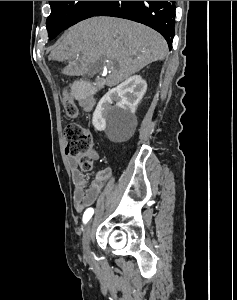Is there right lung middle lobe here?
<instances>
[{
	"mask_svg": "<svg viewBox=\"0 0 237 300\" xmlns=\"http://www.w3.org/2000/svg\"><path fill=\"white\" fill-rule=\"evenodd\" d=\"M105 1H49L51 14L46 25L49 39H54L61 31L90 18Z\"/></svg>",
	"mask_w": 237,
	"mask_h": 300,
	"instance_id": "right-lung-middle-lobe-1",
	"label": "right lung middle lobe"
}]
</instances>
